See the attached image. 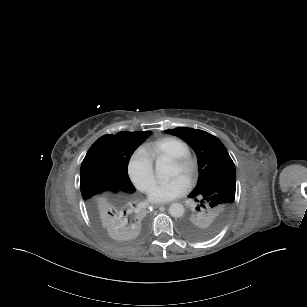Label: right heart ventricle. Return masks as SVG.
Wrapping results in <instances>:
<instances>
[{
    "instance_id": "1",
    "label": "right heart ventricle",
    "mask_w": 307,
    "mask_h": 307,
    "mask_svg": "<svg viewBox=\"0 0 307 307\" xmlns=\"http://www.w3.org/2000/svg\"><path fill=\"white\" fill-rule=\"evenodd\" d=\"M191 148L189 140L177 137L168 136L164 139L163 145L157 150L156 154L159 157H171L179 155Z\"/></svg>"
}]
</instances>
